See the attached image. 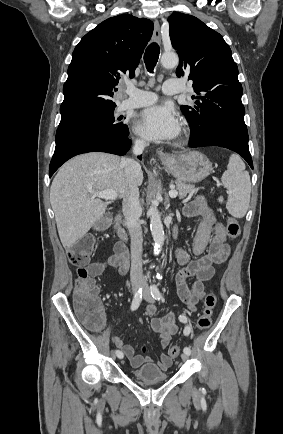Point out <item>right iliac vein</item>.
I'll return each mask as SVG.
<instances>
[{
	"label": "right iliac vein",
	"instance_id": "obj_1",
	"mask_svg": "<svg viewBox=\"0 0 283 434\" xmlns=\"http://www.w3.org/2000/svg\"><path fill=\"white\" fill-rule=\"evenodd\" d=\"M139 286H140V283H139L138 281H134V282L132 283V291H133V293H136V292H137V290L139 289ZM111 357H112L113 359L116 358V354H115V352H114L113 350L111 351Z\"/></svg>",
	"mask_w": 283,
	"mask_h": 434
}]
</instances>
